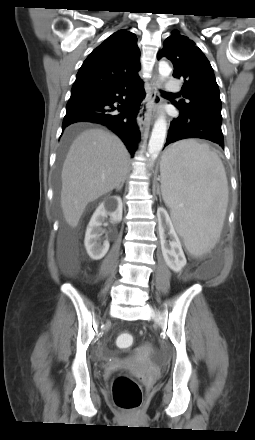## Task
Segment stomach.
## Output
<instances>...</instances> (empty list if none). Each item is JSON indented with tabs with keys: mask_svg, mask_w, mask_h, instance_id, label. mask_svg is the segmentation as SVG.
<instances>
[{
	"mask_svg": "<svg viewBox=\"0 0 255 440\" xmlns=\"http://www.w3.org/2000/svg\"><path fill=\"white\" fill-rule=\"evenodd\" d=\"M166 156H167V152L164 153V155H163V157H162V161H161V163L164 162V161H166Z\"/></svg>",
	"mask_w": 255,
	"mask_h": 440,
	"instance_id": "1",
	"label": "stomach"
}]
</instances>
